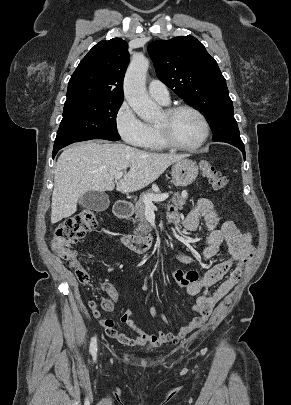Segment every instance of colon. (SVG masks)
<instances>
[{"label": "colon", "mask_w": 291, "mask_h": 405, "mask_svg": "<svg viewBox=\"0 0 291 405\" xmlns=\"http://www.w3.org/2000/svg\"><path fill=\"white\" fill-rule=\"evenodd\" d=\"M199 170L214 189L221 190L225 187L226 178L210 162L202 160L199 163ZM97 226L98 219L95 212L84 209L63 221L57 227L51 241L54 252L75 269L77 280L84 285H89L92 282V275L87 267L80 264L77 253L71 248V245ZM169 276L177 285L185 287L199 280L196 271L177 269L171 271Z\"/></svg>", "instance_id": "obj_1"}]
</instances>
